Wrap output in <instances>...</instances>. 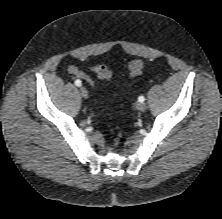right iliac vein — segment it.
I'll return each mask as SVG.
<instances>
[{
  "mask_svg": "<svg viewBox=\"0 0 222 219\" xmlns=\"http://www.w3.org/2000/svg\"><path fill=\"white\" fill-rule=\"evenodd\" d=\"M80 94L83 98H88V91L85 87L81 86L79 88Z\"/></svg>",
  "mask_w": 222,
  "mask_h": 219,
  "instance_id": "63e3f726",
  "label": "right iliac vein"
}]
</instances>
